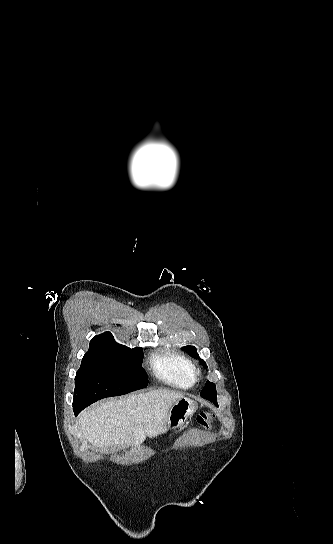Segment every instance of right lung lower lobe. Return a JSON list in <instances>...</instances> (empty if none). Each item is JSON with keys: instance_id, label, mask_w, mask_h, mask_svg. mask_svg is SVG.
<instances>
[{"instance_id": "right-lung-lower-lobe-1", "label": "right lung lower lobe", "mask_w": 333, "mask_h": 544, "mask_svg": "<svg viewBox=\"0 0 333 544\" xmlns=\"http://www.w3.org/2000/svg\"><path fill=\"white\" fill-rule=\"evenodd\" d=\"M75 415H77L82 409L80 407H73Z\"/></svg>"}]
</instances>
